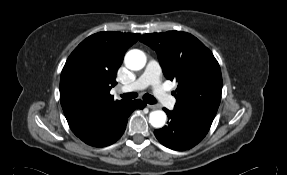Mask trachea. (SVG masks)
I'll list each match as a JSON object with an SVG mask.
<instances>
[{
    "label": "trachea",
    "instance_id": "1",
    "mask_svg": "<svg viewBox=\"0 0 287 175\" xmlns=\"http://www.w3.org/2000/svg\"><path fill=\"white\" fill-rule=\"evenodd\" d=\"M120 96L123 99H134V98H136L138 96V94L136 92H131V93L121 94ZM143 99L148 104H155L157 102L156 99L152 95H150L148 93L144 94Z\"/></svg>",
    "mask_w": 287,
    "mask_h": 175
}]
</instances>
